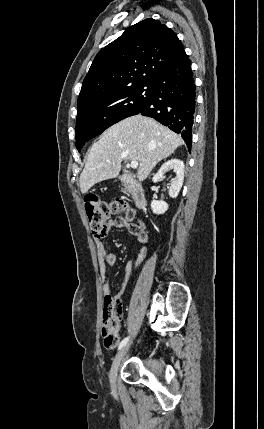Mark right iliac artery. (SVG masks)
<instances>
[{"mask_svg":"<svg viewBox=\"0 0 264 429\" xmlns=\"http://www.w3.org/2000/svg\"><path fill=\"white\" fill-rule=\"evenodd\" d=\"M128 340H129V337L124 338V339L120 342L118 349H121L122 347H124V346L127 344Z\"/></svg>","mask_w":264,"mask_h":429,"instance_id":"82829eb1","label":"right iliac artery"}]
</instances>
